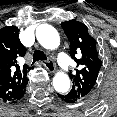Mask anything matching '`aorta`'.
Here are the masks:
<instances>
[{
    "mask_svg": "<svg viewBox=\"0 0 117 117\" xmlns=\"http://www.w3.org/2000/svg\"><path fill=\"white\" fill-rule=\"evenodd\" d=\"M39 44L45 49L54 50L60 45L58 31L51 25L42 24L36 30ZM53 87L58 93H66L70 89L69 76L64 72H58L53 78Z\"/></svg>",
    "mask_w": 117,
    "mask_h": 117,
    "instance_id": "762f6f07",
    "label": "aorta"
}]
</instances>
